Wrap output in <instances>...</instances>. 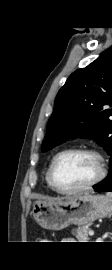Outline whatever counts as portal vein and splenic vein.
<instances>
[{"mask_svg": "<svg viewBox=\"0 0 112 270\" xmlns=\"http://www.w3.org/2000/svg\"><path fill=\"white\" fill-rule=\"evenodd\" d=\"M88 233H89L90 236H93L94 235V231L93 230H89Z\"/></svg>", "mask_w": 112, "mask_h": 270, "instance_id": "1", "label": "portal vein and splenic vein"}]
</instances>
